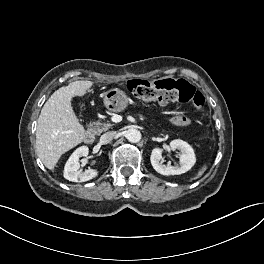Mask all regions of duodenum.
<instances>
[{"label": "duodenum", "mask_w": 264, "mask_h": 264, "mask_svg": "<svg viewBox=\"0 0 264 264\" xmlns=\"http://www.w3.org/2000/svg\"><path fill=\"white\" fill-rule=\"evenodd\" d=\"M84 141L87 144H92L95 141V133L93 130L89 129L85 132Z\"/></svg>", "instance_id": "duodenum-1"}]
</instances>
